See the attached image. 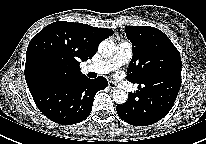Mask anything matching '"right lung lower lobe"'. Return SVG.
<instances>
[{
	"label": "right lung lower lobe",
	"instance_id": "obj_1",
	"mask_svg": "<svg viewBox=\"0 0 206 144\" xmlns=\"http://www.w3.org/2000/svg\"><path fill=\"white\" fill-rule=\"evenodd\" d=\"M107 85L108 81L102 76L93 80L85 76L72 82L42 86L31 92V95L48 119L58 124L70 125L89 116L95 94Z\"/></svg>",
	"mask_w": 206,
	"mask_h": 144
}]
</instances>
